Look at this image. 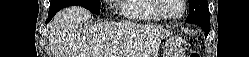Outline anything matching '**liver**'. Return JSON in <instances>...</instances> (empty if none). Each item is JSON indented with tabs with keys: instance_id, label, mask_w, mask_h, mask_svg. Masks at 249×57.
I'll use <instances>...</instances> for the list:
<instances>
[{
	"instance_id": "obj_1",
	"label": "liver",
	"mask_w": 249,
	"mask_h": 57,
	"mask_svg": "<svg viewBox=\"0 0 249 57\" xmlns=\"http://www.w3.org/2000/svg\"><path fill=\"white\" fill-rule=\"evenodd\" d=\"M91 13L83 7L60 10L50 23L49 39L55 57H158L167 31L131 22H102L87 29Z\"/></svg>"
}]
</instances>
